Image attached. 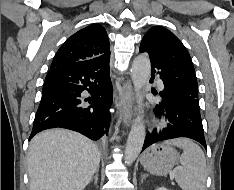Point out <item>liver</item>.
<instances>
[{
	"label": "liver",
	"mask_w": 234,
	"mask_h": 190,
	"mask_svg": "<svg viewBox=\"0 0 234 190\" xmlns=\"http://www.w3.org/2000/svg\"><path fill=\"white\" fill-rule=\"evenodd\" d=\"M100 163L98 147L65 129L37 134L28 151L30 190H83Z\"/></svg>",
	"instance_id": "6515ba94"
}]
</instances>
